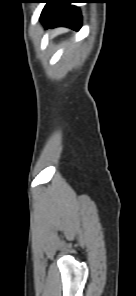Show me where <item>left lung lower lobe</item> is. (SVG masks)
<instances>
[{"label":"left lung lower lobe","instance_id":"left-lung-lower-lobe-1","mask_svg":"<svg viewBox=\"0 0 136 296\" xmlns=\"http://www.w3.org/2000/svg\"><path fill=\"white\" fill-rule=\"evenodd\" d=\"M84 2L83 0H55L52 9L42 19L46 28L69 27L78 31L81 28L82 16L78 7L70 3Z\"/></svg>","mask_w":136,"mask_h":296}]
</instances>
